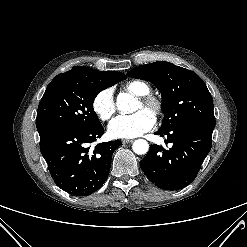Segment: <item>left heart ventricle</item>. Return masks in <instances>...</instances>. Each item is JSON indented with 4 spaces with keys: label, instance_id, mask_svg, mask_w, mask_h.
I'll return each mask as SVG.
<instances>
[{
    "label": "left heart ventricle",
    "instance_id": "1",
    "mask_svg": "<svg viewBox=\"0 0 247 247\" xmlns=\"http://www.w3.org/2000/svg\"><path fill=\"white\" fill-rule=\"evenodd\" d=\"M140 109H145V110L149 111L148 109L144 108V107L141 105V103L138 101L137 104H136V106H135V108H134V110H135V111H138V110H140ZM149 112H150V111H149Z\"/></svg>",
    "mask_w": 247,
    "mask_h": 247
}]
</instances>
